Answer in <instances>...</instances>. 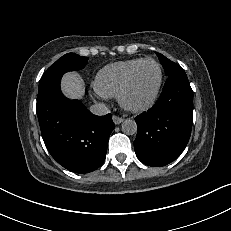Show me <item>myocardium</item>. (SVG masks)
Instances as JSON below:
<instances>
[{"mask_svg": "<svg viewBox=\"0 0 231 231\" xmlns=\"http://www.w3.org/2000/svg\"><path fill=\"white\" fill-rule=\"evenodd\" d=\"M149 62L154 63L158 68V71H159L158 83L156 85V88H155L153 94L151 95V97L146 102L139 104V105H132L127 101L128 91L132 85L133 79H134L135 74L138 71V69L142 65L149 63ZM163 77H164V74H163L162 66L157 60H155L153 58L143 59L141 62H139L137 65H135L132 68V70L129 72L125 82L123 83V85H122V87H121V89L117 95V99H118L119 104L125 110H128L130 112H142V111H145V110L151 108L155 104V102L159 96V93L161 91V87L163 84Z\"/></svg>", "mask_w": 231, "mask_h": 231, "instance_id": "myocardium-1", "label": "myocardium"}]
</instances>
